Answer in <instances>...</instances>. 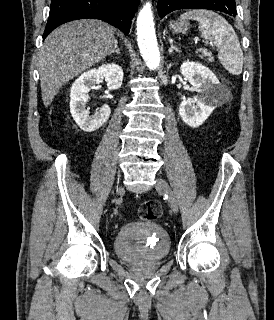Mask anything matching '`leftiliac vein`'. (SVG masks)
Masks as SVG:
<instances>
[{
    "label": "left iliac vein",
    "mask_w": 274,
    "mask_h": 320,
    "mask_svg": "<svg viewBox=\"0 0 274 320\" xmlns=\"http://www.w3.org/2000/svg\"><path fill=\"white\" fill-rule=\"evenodd\" d=\"M155 187L158 191L164 193L167 196L169 206L176 214L178 212V202L169 184L165 180L159 178L157 179Z\"/></svg>",
    "instance_id": "obj_1"
}]
</instances>
